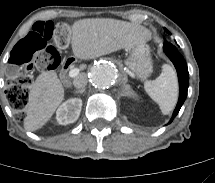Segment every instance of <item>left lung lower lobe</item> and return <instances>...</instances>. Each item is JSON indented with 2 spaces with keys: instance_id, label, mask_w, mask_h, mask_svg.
Listing matches in <instances>:
<instances>
[{
  "instance_id": "left-lung-lower-lobe-1",
  "label": "left lung lower lobe",
  "mask_w": 215,
  "mask_h": 183,
  "mask_svg": "<svg viewBox=\"0 0 215 183\" xmlns=\"http://www.w3.org/2000/svg\"><path fill=\"white\" fill-rule=\"evenodd\" d=\"M163 48L169 59L173 62L179 80V99L176 108L173 112L172 118L169 121V123H171L173 119L176 117V115L179 113V110L187 97V91L189 86V73L187 64L183 56L178 52L174 45L167 41H164Z\"/></svg>"
}]
</instances>
